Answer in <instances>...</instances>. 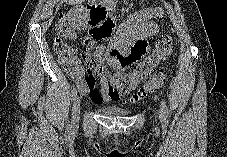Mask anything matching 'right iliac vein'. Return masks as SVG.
I'll return each instance as SVG.
<instances>
[{
  "label": "right iliac vein",
  "mask_w": 227,
  "mask_h": 157,
  "mask_svg": "<svg viewBox=\"0 0 227 157\" xmlns=\"http://www.w3.org/2000/svg\"><path fill=\"white\" fill-rule=\"evenodd\" d=\"M80 97L76 96L73 101V107H72V121L73 123H76L79 120V114H80Z\"/></svg>",
  "instance_id": "1"
}]
</instances>
